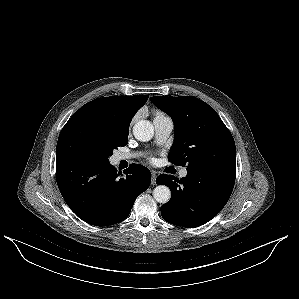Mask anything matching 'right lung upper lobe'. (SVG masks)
<instances>
[{
	"label": "right lung upper lobe",
	"mask_w": 299,
	"mask_h": 299,
	"mask_svg": "<svg viewBox=\"0 0 299 299\" xmlns=\"http://www.w3.org/2000/svg\"><path fill=\"white\" fill-rule=\"evenodd\" d=\"M147 99L148 95L95 99L77 110L64 127H75L83 120H98L118 133L128 134L133 116ZM56 159L59 158L56 157Z\"/></svg>",
	"instance_id": "obj_1"
}]
</instances>
